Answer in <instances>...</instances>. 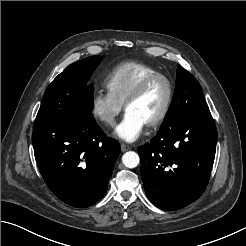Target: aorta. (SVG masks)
<instances>
[{
	"mask_svg": "<svg viewBox=\"0 0 246 246\" xmlns=\"http://www.w3.org/2000/svg\"><path fill=\"white\" fill-rule=\"evenodd\" d=\"M122 162L127 168H135L140 162L139 155L134 151H128L122 156Z\"/></svg>",
	"mask_w": 246,
	"mask_h": 246,
	"instance_id": "762f6f07",
	"label": "aorta"
}]
</instances>
